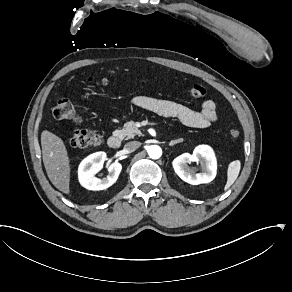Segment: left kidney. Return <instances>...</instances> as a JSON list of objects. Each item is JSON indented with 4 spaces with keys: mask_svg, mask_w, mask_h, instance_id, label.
<instances>
[{
    "mask_svg": "<svg viewBox=\"0 0 292 292\" xmlns=\"http://www.w3.org/2000/svg\"><path fill=\"white\" fill-rule=\"evenodd\" d=\"M201 162L202 173H195L188 166L191 162ZM173 168L185 182L198 185L211 182L217 173V161L213 149L209 145L197 146L193 154L184 153L173 160Z\"/></svg>",
    "mask_w": 292,
    "mask_h": 292,
    "instance_id": "obj_1",
    "label": "left kidney"
}]
</instances>
